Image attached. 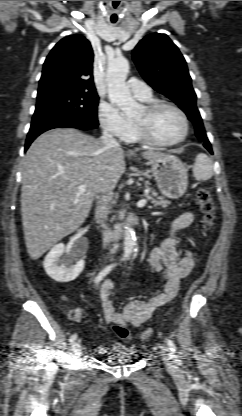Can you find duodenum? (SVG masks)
<instances>
[{
  "instance_id": "duodenum-1",
  "label": "duodenum",
  "mask_w": 242,
  "mask_h": 416,
  "mask_svg": "<svg viewBox=\"0 0 242 416\" xmlns=\"http://www.w3.org/2000/svg\"><path fill=\"white\" fill-rule=\"evenodd\" d=\"M138 223V219L135 216H128L122 224H119L113 230L110 237V245H115L120 239L125 230L131 226H134Z\"/></svg>"
}]
</instances>
